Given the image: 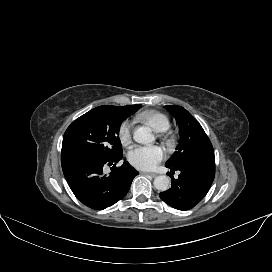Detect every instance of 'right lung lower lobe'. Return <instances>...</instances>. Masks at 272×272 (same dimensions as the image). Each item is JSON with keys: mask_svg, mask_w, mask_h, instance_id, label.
<instances>
[{"mask_svg": "<svg viewBox=\"0 0 272 272\" xmlns=\"http://www.w3.org/2000/svg\"><path fill=\"white\" fill-rule=\"evenodd\" d=\"M122 156L108 159L83 150L61 152V164L65 179L84 205L103 210L122 199L139 173L126 161L115 167ZM105 164L112 165L109 176L103 174Z\"/></svg>", "mask_w": 272, "mask_h": 272, "instance_id": "obj_1", "label": "right lung lower lobe"}]
</instances>
